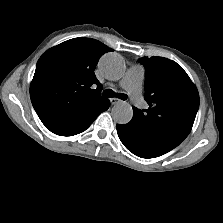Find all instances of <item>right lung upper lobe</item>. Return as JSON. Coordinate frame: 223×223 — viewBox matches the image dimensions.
Here are the masks:
<instances>
[{"instance_id": "right-lung-upper-lobe-1", "label": "right lung upper lobe", "mask_w": 223, "mask_h": 223, "mask_svg": "<svg viewBox=\"0 0 223 223\" xmlns=\"http://www.w3.org/2000/svg\"><path fill=\"white\" fill-rule=\"evenodd\" d=\"M109 51L97 40L74 38L40 57L30 97L51 132L63 136L81 133L108 108L109 100L100 96L102 85L94 70L99 58Z\"/></svg>"}]
</instances>
